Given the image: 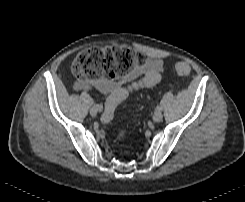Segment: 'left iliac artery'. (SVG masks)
<instances>
[{"label":"left iliac artery","instance_id":"44dca946","mask_svg":"<svg viewBox=\"0 0 245 202\" xmlns=\"http://www.w3.org/2000/svg\"><path fill=\"white\" fill-rule=\"evenodd\" d=\"M162 110V107L160 105H157L156 106V111H161Z\"/></svg>","mask_w":245,"mask_h":202}]
</instances>
